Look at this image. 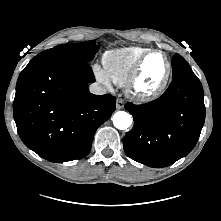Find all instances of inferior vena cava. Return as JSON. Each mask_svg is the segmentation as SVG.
<instances>
[{
  "label": "inferior vena cava",
  "mask_w": 221,
  "mask_h": 221,
  "mask_svg": "<svg viewBox=\"0 0 221 221\" xmlns=\"http://www.w3.org/2000/svg\"><path fill=\"white\" fill-rule=\"evenodd\" d=\"M89 91L92 94H95V95H104V94H106V89L98 83H92L89 86Z\"/></svg>",
  "instance_id": "obj_1"
}]
</instances>
